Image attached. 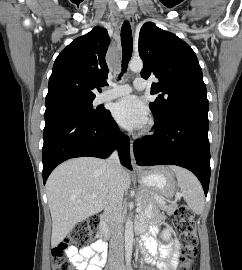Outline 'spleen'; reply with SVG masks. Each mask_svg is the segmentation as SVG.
<instances>
[{"label":"spleen","mask_w":242,"mask_h":270,"mask_svg":"<svg viewBox=\"0 0 242 270\" xmlns=\"http://www.w3.org/2000/svg\"><path fill=\"white\" fill-rule=\"evenodd\" d=\"M170 168L176 175L177 185L184 201L194 213L200 214L204 208V193L201 184L188 170L177 166Z\"/></svg>","instance_id":"1"}]
</instances>
